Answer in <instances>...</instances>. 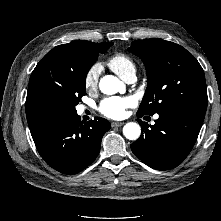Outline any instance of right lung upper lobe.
<instances>
[{
  "label": "right lung upper lobe",
  "instance_id": "obj_1",
  "mask_svg": "<svg viewBox=\"0 0 221 221\" xmlns=\"http://www.w3.org/2000/svg\"><path fill=\"white\" fill-rule=\"evenodd\" d=\"M93 42L73 41L56 46L37 64L29 80L26 98V114L46 109L45 94L53 78L54 68L69 57L74 51L89 46Z\"/></svg>",
  "mask_w": 221,
  "mask_h": 221
}]
</instances>
